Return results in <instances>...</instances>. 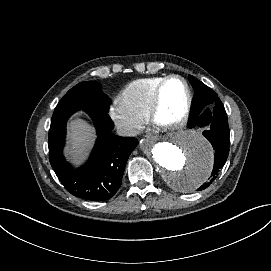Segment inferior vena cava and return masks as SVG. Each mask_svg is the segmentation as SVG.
Listing matches in <instances>:
<instances>
[{
    "mask_svg": "<svg viewBox=\"0 0 271 271\" xmlns=\"http://www.w3.org/2000/svg\"><path fill=\"white\" fill-rule=\"evenodd\" d=\"M117 134L120 135V136H126L127 135V130L125 129H117Z\"/></svg>",
    "mask_w": 271,
    "mask_h": 271,
    "instance_id": "obj_1",
    "label": "inferior vena cava"
}]
</instances>
